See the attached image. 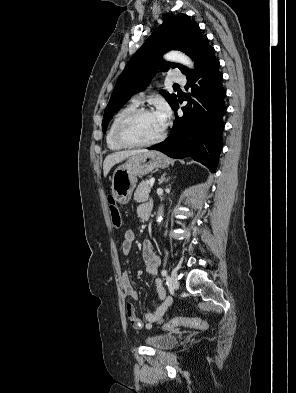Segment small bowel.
<instances>
[{"mask_svg":"<svg viewBox=\"0 0 296 393\" xmlns=\"http://www.w3.org/2000/svg\"><path fill=\"white\" fill-rule=\"evenodd\" d=\"M152 204L150 202L141 204L137 209L138 217L142 220H147V217L151 216ZM135 242V233L132 230H127L124 234V239L122 242V251L124 254H129L133 244ZM142 259L146 266L147 273L151 275H156L158 273L160 259L155 255L154 246L151 241L146 240L142 244ZM123 292L126 296L137 300L139 295L135 288L132 286L129 276L127 273L123 274L122 277ZM156 292L158 295L159 303L153 311H146L144 313V318L146 323L138 316L135 307L128 303L126 305V314L131 326L135 329H141L145 327L146 329H151L156 323L162 322L164 315L171 305L172 298L167 295L166 290L163 286L162 280L157 278L155 280Z\"/></svg>","mask_w":296,"mask_h":393,"instance_id":"c3829d8e","label":"small bowel"}]
</instances>
